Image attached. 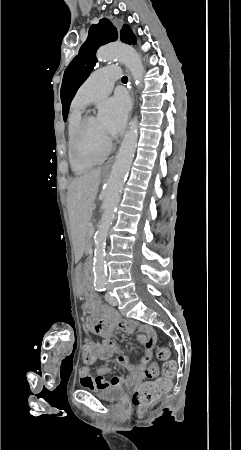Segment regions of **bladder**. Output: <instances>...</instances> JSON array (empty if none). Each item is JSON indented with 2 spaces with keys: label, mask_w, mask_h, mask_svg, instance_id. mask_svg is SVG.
<instances>
[{
  "label": "bladder",
  "mask_w": 241,
  "mask_h": 450,
  "mask_svg": "<svg viewBox=\"0 0 241 450\" xmlns=\"http://www.w3.org/2000/svg\"><path fill=\"white\" fill-rule=\"evenodd\" d=\"M96 395L107 401H120L125 396V391L121 387H108L96 392Z\"/></svg>",
  "instance_id": "bladder-1"
}]
</instances>
